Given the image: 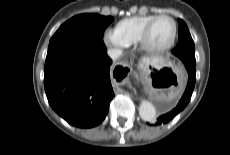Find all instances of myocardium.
I'll return each mask as SVG.
<instances>
[{"mask_svg":"<svg viewBox=\"0 0 230 155\" xmlns=\"http://www.w3.org/2000/svg\"><path fill=\"white\" fill-rule=\"evenodd\" d=\"M162 18H167V19L172 21L173 26H174L173 34H172L170 41L166 45H164L162 47H153L149 44L150 31H151L154 23L156 21H158L159 19H162ZM177 35H178V25H177L176 20L170 15L160 14V15H157L156 17H154L145 26V28L143 29V31L141 33V36H140L138 42H139L142 50L145 51L146 53L153 54V55H159V54H163V53L167 52L168 50H170L174 46L175 41L177 39Z\"/></svg>","mask_w":230,"mask_h":155,"instance_id":"1","label":"myocardium"}]
</instances>
